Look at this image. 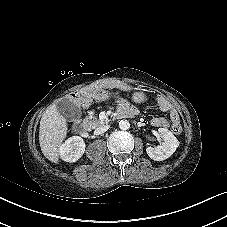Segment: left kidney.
I'll list each match as a JSON object with an SVG mask.
<instances>
[{"instance_id": "left-kidney-1", "label": "left kidney", "mask_w": 227, "mask_h": 227, "mask_svg": "<svg viewBox=\"0 0 227 227\" xmlns=\"http://www.w3.org/2000/svg\"><path fill=\"white\" fill-rule=\"evenodd\" d=\"M158 132L160 136L164 139L162 145L156 147H147L146 152L148 156L156 161H163L169 158L179 146V141L173 135L171 131L165 128H159Z\"/></svg>"}]
</instances>
